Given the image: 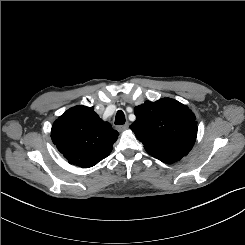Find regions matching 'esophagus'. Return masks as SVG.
<instances>
[{
    "label": "esophagus",
    "mask_w": 245,
    "mask_h": 245,
    "mask_svg": "<svg viewBox=\"0 0 245 245\" xmlns=\"http://www.w3.org/2000/svg\"><path fill=\"white\" fill-rule=\"evenodd\" d=\"M128 126H129V123L126 122L125 124L120 125V126L118 127V130H119V131L126 130V129L128 128Z\"/></svg>",
    "instance_id": "34e87169"
}]
</instances>
